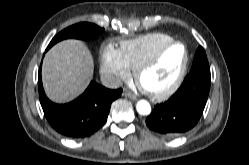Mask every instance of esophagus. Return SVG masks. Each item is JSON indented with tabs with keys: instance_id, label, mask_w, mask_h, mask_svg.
<instances>
[{
	"instance_id": "esophagus-1",
	"label": "esophagus",
	"mask_w": 249,
	"mask_h": 165,
	"mask_svg": "<svg viewBox=\"0 0 249 165\" xmlns=\"http://www.w3.org/2000/svg\"><path fill=\"white\" fill-rule=\"evenodd\" d=\"M123 95L130 98L131 100H137V97L133 93H131L129 91H124Z\"/></svg>"
}]
</instances>
